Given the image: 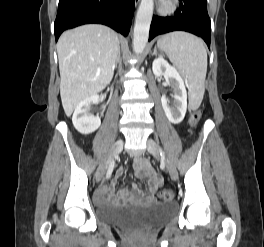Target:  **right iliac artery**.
<instances>
[{"label":"right iliac artery","instance_id":"82829eb1","mask_svg":"<svg viewBox=\"0 0 264 247\" xmlns=\"http://www.w3.org/2000/svg\"><path fill=\"white\" fill-rule=\"evenodd\" d=\"M114 165H115V162L112 161L110 163V165H109V168H108V171H107V174H106L107 179L111 177L113 169H114Z\"/></svg>","mask_w":264,"mask_h":247}]
</instances>
